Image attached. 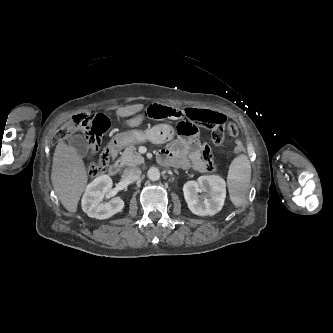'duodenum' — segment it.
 Returning <instances> with one entry per match:
<instances>
[{
    "mask_svg": "<svg viewBox=\"0 0 333 333\" xmlns=\"http://www.w3.org/2000/svg\"><path fill=\"white\" fill-rule=\"evenodd\" d=\"M109 150L112 158V163L109 166L108 172L111 176H115L120 171V164L118 161V152H119L118 144L116 143L111 144Z\"/></svg>",
    "mask_w": 333,
    "mask_h": 333,
    "instance_id": "obj_1",
    "label": "duodenum"
}]
</instances>
